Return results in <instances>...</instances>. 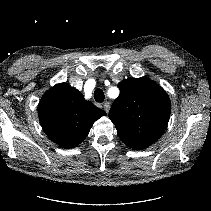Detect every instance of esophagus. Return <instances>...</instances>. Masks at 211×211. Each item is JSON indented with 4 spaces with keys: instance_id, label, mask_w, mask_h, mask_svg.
I'll return each instance as SVG.
<instances>
[{
    "instance_id": "obj_1",
    "label": "esophagus",
    "mask_w": 211,
    "mask_h": 211,
    "mask_svg": "<svg viewBox=\"0 0 211 211\" xmlns=\"http://www.w3.org/2000/svg\"><path fill=\"white\" fill-rule=\"evenodd\" d=\"M103 108H104L105 112L108 113L109 109H110V103L109 102H105L103 104Z\"/></svg>"
}]
</instances>
